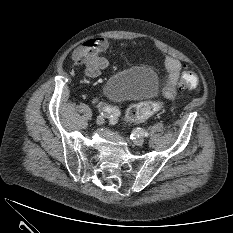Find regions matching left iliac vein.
I'll return each mask as SVG.
<instances>
[{
  "label": "left iliac vein",
  "instance_id": "1",
  "mask_svg": "<svg viewBox=\"0 0 233 233\" xmlns=\"http://www.w3.org/2000/svg\"><path fill=\"white\" fill-rule=\"evenodd\" d=\"M133 142H134L135 145L141 146V145L144 144L145 140H144L143 137H135V138L133 139Z\"/></svg>",
  "mask_w": 233,
  "mask_h": 233
}]
</instances>
